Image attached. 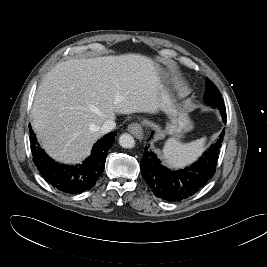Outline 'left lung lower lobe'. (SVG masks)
Listing matches in <instances>:
<instances>
[{
    "mask_svg": "<svg viewBox=\"0 0 267 267\" xmlns=\"http://www.w3.org/2000/svg\"><path fill=\"white\" fill-rule=\"evenodd\" d=\"M217 108L226 122L225 106ZM223 137L224 131L196 163L179 171H170L162 166L155 153L146 147L140 163L143 178L159 198L171 202L187 199L214 175Z\"/></svg>",
    "mask_w": 267,
    "mask_h": 267,
    "instance_id": "obj_1",
    "label": "left lung lower lobe"
}]
</instances>
